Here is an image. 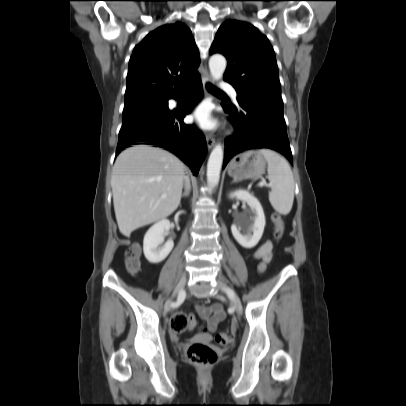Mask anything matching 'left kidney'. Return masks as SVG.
I'll return each instance as SVG.
<instances>
[{
	"instance_id": "obj_1",
	"label": "left kidney",
	"mask_w": 406,
	"mask_h": 406,
	"mask_svg": "<svg viewBox=\"0 0 406 406\" xmlns=\"http://www.w3.org/2000/svg\"><path fill=\"white\" fill-rule=\"evenodd\" d=\"M229 198L246 201L254 215L245 219L238 226L236 224L231 226L235 240L242 247L251 249L257 245L264 231L266 220L263 208L259 200L246 190H235L229 194ZM240 228L245 229V234H241Z\"/></svg>"
}]
</instances>
